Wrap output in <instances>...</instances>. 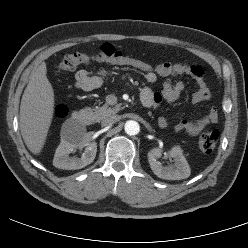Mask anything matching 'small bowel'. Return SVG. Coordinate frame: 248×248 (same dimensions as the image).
Listing matches in <instances>:
<instances>
[{"label": "small bowel", "instance_id": "small-bowel-1", "mask_svg": "<svg viewBox=\"0 0 248 248\" xmlns=\"http://www.w3.org/2000/svg\"><path fill=\"white\" fill-rule=\"evenodd\" d=\"M147 86L142 90L141 97L149 98L151 106L157 107L162 101L168 103L174 102L181 96L185 86L180 80H174L177 76L187 74L193 77L197 83L198 89L192 95L193 103L207 102L211 99V92L204 78L203 68L194 63H160L150 71L142 72ZM158 77H171L163 85L161 92L154 91L151 86L157 81ZM102 79L99 76L92 75L87 70H78L75 74V86L82 91H92L101 86ZM219 119L218 110L213 107L209 112L197 119H183L175 126L177 132H184L195 136L203 131L209 124L216 123ZM160 128H167L169 120L165 117L158 119Z\"/></svg>", "mask_w": 248, "mask_h": 248}]
</instances>
